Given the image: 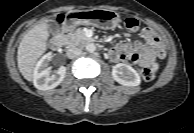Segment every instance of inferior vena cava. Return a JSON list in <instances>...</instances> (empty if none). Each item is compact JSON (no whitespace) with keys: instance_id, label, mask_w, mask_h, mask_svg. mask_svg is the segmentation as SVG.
Listing matches in <instances>:
<instances>
[{"instance_id":"602c4592","label":"inferior vena cava","mask_w":194,"mask_h":133,"mask_svg":"<svg viewBox=\"0 0 194 133\" xmlns=\"http://www.w3.org/2000/svg\"><path fill=\"white\" fill-rule=\"evenodd\" d=\"M82 54V49L77 47H71L67 50L66 55L68 58L73 59Z\"/></svg>"}]
</instances>
